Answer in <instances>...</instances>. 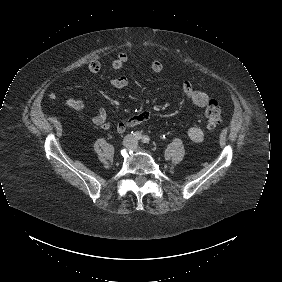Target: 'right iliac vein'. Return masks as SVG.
Masks as SVG:
<instances>
[{
	"label": "right iliac vein",
	"instance_id": "63e3f726",
	"mask_svg": "<svg viewBox=\"0 0 282 282\" xmlns=\"http://www.w3.org/2000/svg\"><path fill=\"white\" fill-rule=\"evenodd\" d=\"M133 144V139L131 136H127L123 139L122 141V145L125 147H130Z\"/></svg>",
	"mask_w": 282,
	"mask_h": 282
}]
</instances>
